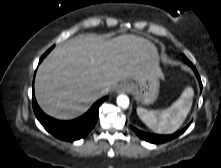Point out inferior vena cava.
<instances>
[{
	"label": "inferior vena cava",
	"instance_id": "602c4592",
	"mask_svg": "<svg viewBox=\"0 0 221 168\" xmlns=\"http://www.w3.org/2000/svg\"><path fill=\"white\" fill-rule=\"evenodd\" d=\"M109 91H110V88L105 87V88L102 89L101 93H102V94H106V93H108Z\"/></svg>",
	"mask_w": 221,
	"mask_h": 168
}]
</instances>
